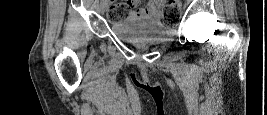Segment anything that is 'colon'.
<instances>
[{
  "instance_id": "5ec220e1",
  "label": "colon",
  "mask_w": 267,
  "mask_h": 115,
  "mask_svg": "<svg viewBox=\"0 0 267 115\" xmlns=\"http://www.w3.org/2000/svg\"><path fill=\"white\" fill-rule=\"evenodd\" d=\"M132 11L131 3H118L112 5L107 13L111 22H119L125 19ZM163 16L166 21H176L181 16L180 1L174 0L166 3L163 7Z\"/></svg>"
}]
</instances>
